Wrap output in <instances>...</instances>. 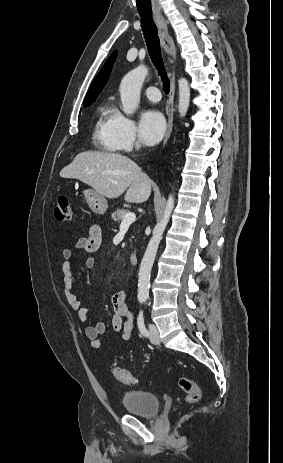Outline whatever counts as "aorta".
<instances>
[{"label":"aorta","instance_id":"1","mask_svg":"<svg viewBox=\"0 0 283 463\" xmlns=\"http://www.w3.org/2000/svg\"><path fill=\"white\" fill-rule=\"evenodd\" d=\"M148 74V69L140 65L127 73L120 84V96L122 110L126 115H132L139 106L140 92L143 82ZM179 102L178 111L180 117L187 113L190 103V87L185 78L178 80ZM174 208V198L169 196L162 219L156 224L153 235L148 243L144 257L141 261L138 280V298L146 300L149 297L150 276L157 250L162 239L164 230L169 222L171 212Z\"/></svg>","mask_w":283,"mask_h":463}]
</instances>
